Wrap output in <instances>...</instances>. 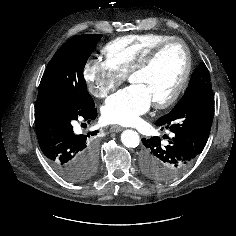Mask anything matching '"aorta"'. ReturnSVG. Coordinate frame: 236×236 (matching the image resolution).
Masks as SVG:
<instances>
[{
  "label": "aorta",
  "instance_id": "obj_1",
  "mask_svg": "<svg viewBox=\"0 0 236 236\" xmlns=\"http://www.w3.org/2000/svg\"><path fill=\"white\" fill-rule=\"evenodd\" d=\"M121 142L127 148H136L140 143V137L134 130H125L121 134Z\"/></svg>",
  "mask_w": 236,
  "mask_h": 236
}]
</instances>
